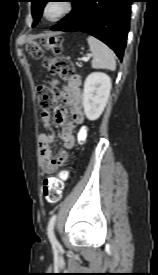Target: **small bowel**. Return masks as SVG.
Listing matches in <instances>:
<instances>
[{
	"mask_svg": "<svg viewBox=\"0 0 158 275\" xmlns=\"http://www.w3.org/2000/svg\"><path fill=\"white\" fill-rule=\"evenodd\" d=\"M80 77L72 76L62 93L63 102L70 107L71 119H68V110L60 107L55 112V121L61 127V140L65 149H71L75 145L74 128L84 121L82 111V95L80 91ZM42 121L47 128H50L51 113L43 111ZM54 139L52 133H41L38 137L40 169L43 175L51 174L68 159L66 150H60L55 156L52 154L50 144Z\"/></svg>",
	"mask_w": 158,
	"mask_h": 275,
	"instance_id": "c3829d8e",
	"label": "small bowel"
}]
</instances>
